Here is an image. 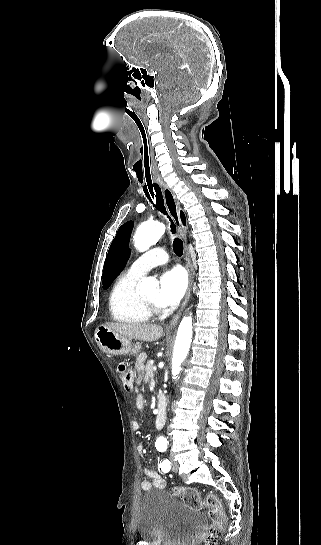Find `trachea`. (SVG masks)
<instances>
[{
	"label": "trachea",
	"instance_id": "obj_1",
	"mask_svg": "<svg viewBox=\"0 0 321 545\" xmlns=\"http://www.w3.org/2000/svg\"><path fill=\"white\" fill-rule=\"evenodd\" d=\"M120 112L122 113H125L130 116V118L132 119V123L133 124H136V126H138V131L139 133H141L142 135L140 136V139H141V143L143 144L144 146V152H143V168H142V173L145 175L144 176V187H143V190L145 192V195L147 196V198L151 201V203H153V205L162 213L164 214V216H167V218L169 219L170 221V229H171V232L172 234H175L176 232V227H175V224L173 223L172 219L170 218V216H168L167 214V211H166V208H165V205H164V199H163V196H162V192H161V189L159 187V185H157L158 183V176L156 174H152L153 173V166H154V163H153V155H152V152L149 148V143H148V133L147 131L145 130V127L144 125H142L141 121H139V118H138V114L137 113H133V111L131 109H129V107H125V106H122L120 107ZM183 242L182 240H180L179 238H174V241H173V250L175 252V254L178 256V257H181V255L183 254Z\"/></svg>",
	"mask_w": 321,
	"mask_h": 545
}]
</instances>
